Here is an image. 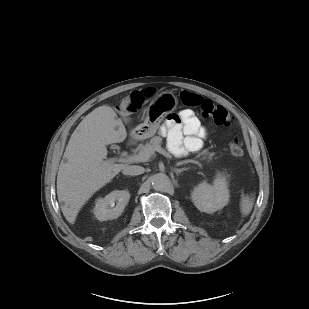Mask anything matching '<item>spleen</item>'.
<instances>
[{"instance_id": "1", "label": "spleen", "mask_w": 309, "mask_h": 309, "mask_svg": "<svg viewBox=\"0 0 309 309\" xmlns=\"http://www.w3.org/2000/svg\"><path fill=\"white\" fill-rule=\"evenodd\" d=\"M254 199V194H252V196L242 195L240 200V210L242 215L247 216L252 211Z\"/></svg>"}]
</instances>
